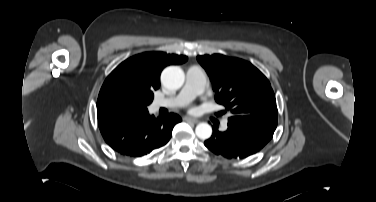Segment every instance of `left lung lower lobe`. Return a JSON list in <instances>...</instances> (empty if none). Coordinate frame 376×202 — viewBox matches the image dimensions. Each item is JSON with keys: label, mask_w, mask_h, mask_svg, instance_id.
Returning <instances> with one entry per match:
<instances>
[{"label": "left lung lower lobe", "mask_w": 376, "mask_h": 202, "mask_svg": "<svg viewBox=\"0 0 376 202\" xmlns=\"http://www.w3.org/2000/svg\"><path fill=\"white\" fill-rule=\"evenodd\" d=\"M213 131L212 136L204 142L209 150L229 159H242L260 151L271 140L275 130L228 119L226 131H218L216 125Z\"/></svg>", "instance_id": "0a47b994"}]
</instances>
